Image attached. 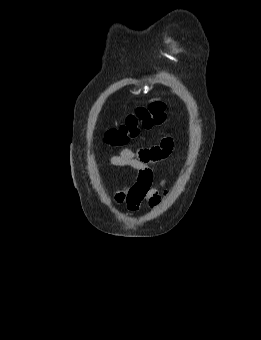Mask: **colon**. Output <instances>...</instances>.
Segmentation results:
<instances>
[{"label":"colon","instance_id":"obj_1","mask_svg":"<svg viewBox=\"0 0 261 340\" xmlns=\"http://www.w3.org/2000/svg\"><path fill=\"white\" fill-rule=\"evenodd\" d=\"M165 119L166 106L162 102L137 108L126 117L122 124L106 132L105 142L111 146L124 145L131 138L136 137L141 129H150L153 126L160 125Z\"/></svg>","mask_w":261,"mask_h":340}]
</instances>
